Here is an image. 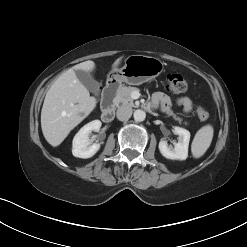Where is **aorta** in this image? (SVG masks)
Returning <instances> with one entry per match:
<instances>
[{
	"mask_svg": "<svg viewBox=\"0 0 247 247\" xmlns=\"http://www.w3.org/2000/svg\"><path fill=\"white\" fill-rule=\"evenodd\" d=\"M133 116H134V120L135 121L142 122L146 118V113L141 109H137V110L134 111Z\"/></svg>",
	"mask_w": 247,
	"mask_h": 247,
	"instance_id": "obj_1",
	"label": "aorta"
}]
</instances>
